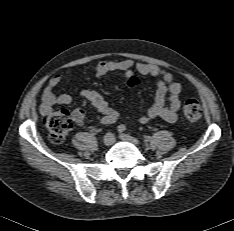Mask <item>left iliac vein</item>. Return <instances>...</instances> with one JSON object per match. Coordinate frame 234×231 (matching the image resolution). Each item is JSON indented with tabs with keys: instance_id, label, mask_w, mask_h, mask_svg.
<instances>
[{
	"instance_id": "1",
	"label": "left iliac vein",
	"mask_w": 234,
	"mask_h": 231,
	"mask_svg": "<svg viewBox=\"0 0 234 231\" xmlns=\"http://www.w3.org/2000/svg\"><path fill=\"white\" fill-rule=\"evenodd\" d=\"M119 137H120V139H122L124 141L130 142V143H132L134 145H139V141L137 139L129 136L128 134L120 133Z\"/></svg>"
}]
</instances>
